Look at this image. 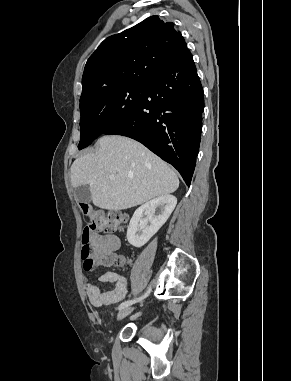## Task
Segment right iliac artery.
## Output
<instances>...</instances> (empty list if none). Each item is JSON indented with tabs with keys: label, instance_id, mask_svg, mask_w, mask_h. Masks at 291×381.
Wrapping results in <instances>:
<instances>
[{
	"label": "right iliac artery",
	"instance_id": "1",
	"mask_svg": "<svg viewBox=\"0 0 291 381\" xmlns=\"http://www.w3.org/2000/svg\"><path fill=\"white\" fill-rule=\"evenodd\" d=\"M149 292H150V289H149V291H148L147 293H145V294H144L143 296H141L140 298L133 299V300H128V301H125V302L121 303V304L119 305V310H121V309H123V308H125V307H128L129 305H131V304H133V303H135V302H137V301H140V300L144 299V298L149 294Z\"/></svg>",
	"mask_w": 291,
	"mask_h": 381
}]
</instances>
